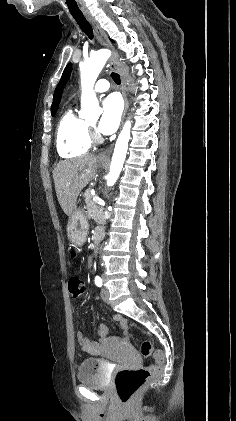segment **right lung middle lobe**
I'll list each match as a JSON object with an SVG mask.
<instances>
[{
  "mask_svg": "<svg viewBox=\"0 0 236 421\" xmlns=\"http://www.w3.org/2000/svg\"><path fill=\"white\" fill-rule=\"evenodd\" d=\"M55 112H56V111L52 112V115H54V114H55Z\"/></svg>",
  "mask_w": 236,
  "mask_h": 421,
  "instance_id": "1",
  "label": "right lung middle lobe"
}]
</instances>
